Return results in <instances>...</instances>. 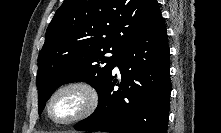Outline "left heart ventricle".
<instances>
[{
    "label": "left heart ventricle",
    "instance_id": "b2bd125f",
    "mask_svg": "<svg viewBox=\"0 0 221 133\" xmlns=\"http://www.w3.org/2000/svg\"><path fill=\"white\" fill-rule=\"evenodd\" d=\"M82 104V99L75 92H66L57 97L51 107V115L57 120L71 116Z\"/></svg>",
    "mask_w": 221,
    "mask_h": 133
}]
</instances>
